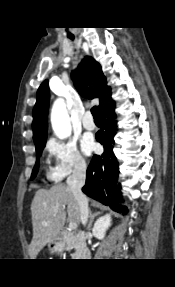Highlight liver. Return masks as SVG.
<instances>
[{
  "label": "liver",
  "mask_w": 175,
  "mask_h": 287,
  "mask_svg": "<svg viewBox=\"0 0 175 287\" xmlns=\"http://www.w3.org/2000/svg\"><path fill=\"white\" fill-rule=\"evenodd\" d=\"M31 215L33 238L28 249L30 259H35L41 249L60 233L66 220L76 224L81 221L77 201L65 184L38 190L31 203Z\"/></svg>",
  "instance_id": "1"
}]
</instances>
